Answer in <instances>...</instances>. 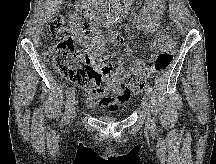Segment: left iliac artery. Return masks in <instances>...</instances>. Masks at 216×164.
<instances>
[{"label": "left iliac artery", "instance_id": "1", "mask_svg": "<svg viewBox=\"0 0 216 164\" xmlns=\"http://www.w3.org/2000/svg\"><path fill=\"white\" fill-rule=\"evenodd\" d=\"M117 21V20H116ZM146 92L148 93V94H151V92H152V88L149 86V85H147L146 86ZM151 128H152V130H156V124L153 122L152 123V126H151Z\"/></svg>", "mask_w": 216, "mask_h": 164}]
</instances>
